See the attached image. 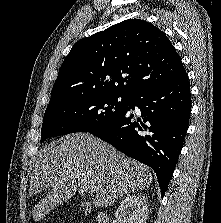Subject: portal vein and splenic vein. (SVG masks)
Returning a JSON list of instances; mask_svg holds the SVG:
<instances>
[{
    "label": "portal vein and splenic vein",
    "instance_id": "1",
    "mask_svg": "<svg viewBox=\"0 0 221 223\" xmlns=\"http://www.w3.org/2000/svg\"><path fill=\"white\" fill-rule=\"evenodd\" d=\"M79 186H80L81 191L92 193V189L89 186H87L86 184H80L79 183Z\"/></svg>",
    "mask_w": 221,
    "mask_h": 223
}]
</instances>
